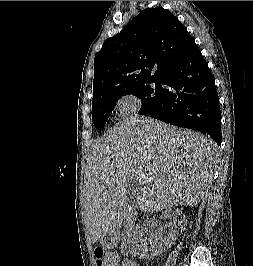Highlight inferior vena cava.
<instances>
[{
    "instance_id": "obj_1",
    "label": "inferior vena cava",
    "mask_w": 253,
    "mask_h": 266,
    "mask_svg": "<svg viewBox=\"0 0 253 266\" xmlns=\"http://www.w3.org/2000/svg\"><path fill=\"white\" fill-rule=\"evenodd\" d=\"M126 219H127V221H128V222H130V223H131V221H130V220H131V215H129V214H128V216H127V218H126ZM130 231H131V232L133 231V230H132V228H130Z\"/></svg>"
}]
</instances>
